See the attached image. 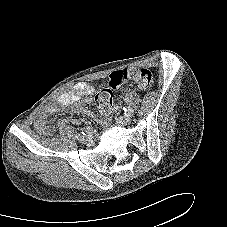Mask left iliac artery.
Here are the masks:
<instances>
[{
    "mask_svg": "<svg viewBox=\"0 0 227 227\" xmlns=\"http://www.w3.org/2000/svg\"><path fill=\"white\" fill-rule=\"evenodd\" d=\"M124 111L126 115H131L134 112L133 108L130 106H128L127 108H124Z\"/></svg>",
    "mask_w": 227,
    "mask_h": 227,
    "instance_id": "1",
    "label": "left iliac artery"
}]
</instances>
